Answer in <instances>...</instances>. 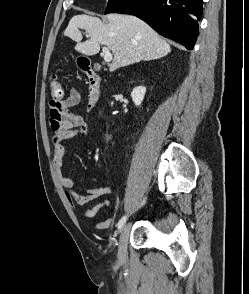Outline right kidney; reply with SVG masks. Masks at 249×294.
I'll return each mask as SVG.
<instances>
[{
  "instance_id": "ca27d5eb",
  "label": "right kidney",
  "mask_w": 249,
  "mask_h": 294,
  "mask_svg": "<svg viewBox=\"0 0 249 294\" xmlns=\"http://www.w3.org/2000/svg\"><path fill=\"white\" fill-rule=\"evenodd\" d=\"M145 93H146V88L144 86H138L133 89V91L131 92V97L136 106L141 105L144 99Z\"/></svg>"
}]
</instances>
